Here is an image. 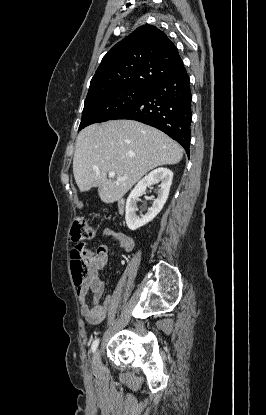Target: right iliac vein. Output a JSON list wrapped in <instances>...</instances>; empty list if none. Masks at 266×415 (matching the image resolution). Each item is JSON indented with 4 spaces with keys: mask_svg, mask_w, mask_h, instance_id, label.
I'll return each mask as SVG.
<instances>
[{
    "mask_svg": "<svg viewBox=\"0 0 266 415\" xmlns=\"http://www.w3.org/2000/svg\"><path fill=\"white\" fill-rule=\"evenodd\" d=\"M93 368L95 371H99L101 368V352L97 350L93 357Z\"/></svg>",
    "mask_w": 266,
    "mask_h": 415,
    "instance_id": "63e3f726",
    "label": "right iliac vein"
}]
</instances>
